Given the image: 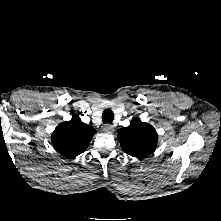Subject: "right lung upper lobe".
<instances>
[{
	"mask_svg": "<svg viewBox=\"0 0 221 221\" xmlns=\"http://www.w3.org/2000/svg\"><path fill=\"white\" fill-rule=\"evenodd\" d=\"M95 133L92 126L83 123L76 115L57 126L52 134V143L58 152L74 158L85 151Z\"/></svg>",
	"mask_w": 221,
	"mask_h": 221,
	"instance_id": "obj_1",
	"label": "right lung upper lobe"
}]
</instances>
